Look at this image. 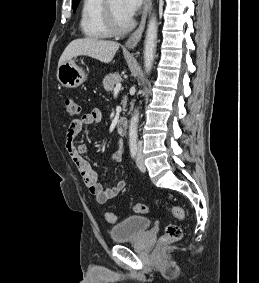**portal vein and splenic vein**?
Here are the masks:
<instances>
[{
    "label": "portal vein and splenic vein",
    "mask_w": 259,
    "mask_h": 283,
    "mask_svg": "<svg viewBox=\"0 0 259 283\" xmlns=\"http://www.w3.org/2000/svg\"><path fill=\"white\" fill-rule=\"evenodd\" d=\"M121 90V84H116V87L114 88V93H118Z\"/></svg>",
    "instance_id": "portal-vein-and-splenic-vein-1"
}]
</instances>
